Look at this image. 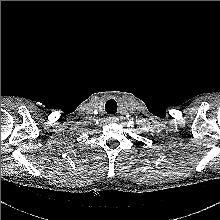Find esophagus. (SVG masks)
I'll return each mask as SVG.
<instances>
[{"label":"esophagus","mask_w":220,"mask_h":220,"mask_svg":"<svg viewBox=\"0 0 220 220\" xmlns=\"http://www.w3.org/2000/svg\"><path fill=\"white\" fill-rule=\"evenodd\" d=\"M117 120V117L116 116H110L109 117V121H111V122H114V121H116Z\"/></svg>","instance_id":"1"}]
</instances>
